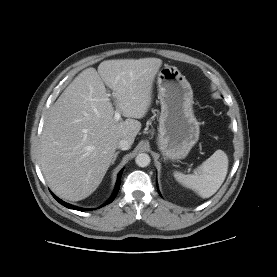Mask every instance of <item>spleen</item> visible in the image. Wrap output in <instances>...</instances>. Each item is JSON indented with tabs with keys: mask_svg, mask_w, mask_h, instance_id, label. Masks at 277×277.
Segmentation results:
<instances>
[{
	"mask_svg": "<svg viewBox=\"0 0 277 277\" xmlns=\"http://www.w3.org/2000/svg\"><path fill=\"white\" fill-rule=\"evenodd\" d=\"M228 172V157L222 150H216L198 168L195 174L175 172V179L183 186L194 190L200 197L209 198L223 184Z\"/></svg>",
	"mask_w": 277,
	"mask_h": 277,
	"instance_id": "obj_1",
	"label": "spleen"
}]
</instances>
